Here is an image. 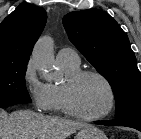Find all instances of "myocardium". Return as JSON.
<instances>
[{"instance_id":"f54148a6","label":"myocardium","mask_w":141,"mask_h":139,"mask_svg":"<svg viewBox=\"0 0 141 139\" xmlns=\"http://www.w3.org/2000/svg\"><path fill=\"white\" fill-rule=\"evenodd\" d=\"M86 76H94L99 78L107 87L109 92V104L107 109L99 114V115H86L81 113L75 106L73 102V89L75 85ZM61 96H62V104L64 111L78 119L86 120V121H98L103 120L108 117L113 111L116 103V94L113 88V85L109 81V79L99 71L86 69V70H78L66 77L65 82L61 85Z\"/></svg>"}]
</instances>
